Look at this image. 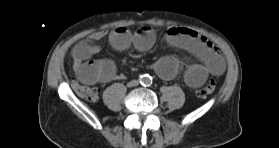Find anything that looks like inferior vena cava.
I'll return each mask as SVG.
<instances>
[{"mask_svg": "<svg viewBox=\"0 0 279 148\" xmlns=\"http://www.w3.org/2000/svg\"><path fill=\"white\" fill-rule=\"evenodd\" d=\"M130 86H136L138 85V81L137 80H132L130 83H129Z\"/></svg>", "mask_w": 279, "mask_h": 148, "instance_id": "602c4592", "label": "inferior vena cava"}]
</instances>
